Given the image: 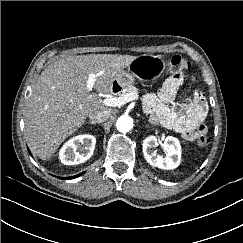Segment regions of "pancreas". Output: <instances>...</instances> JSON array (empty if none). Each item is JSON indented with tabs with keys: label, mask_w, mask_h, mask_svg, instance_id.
<instances>
[{
	"label": "pancreas",
	"mask_w": 243,
	"mask_h": 243,
	"mask_svg": "<svg viewBox=\"0 0 243 243\" xmlns=\"http://www.w3.org/2000/svg\"><path fill=\"white\" fill-rule=\"evenodd\" d=\"M132 92L138 94V89L136 87H134L133 85H129L128 87H126L122 90V92L119 94V97H123Z\"/></svg>",
	"instance_id": "1"
}]
</instances>
